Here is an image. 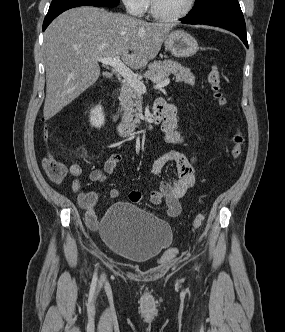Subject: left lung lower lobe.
<instances>
[{"mask_svg":"<svg viewBox=\"0 0 285 332\" xmlns=\"http://www.w3.org/2000/svg\"><path fill=\"white\" fill-rule=\"evenodd\" d=\"M181 21L187 24H204L227 29L235 33L248 48L246 25L242 11L225 12L201 17L188 16L181 19Z\"/></svg>","mask_w":285,"mask_h":332,"instance_id":"1","label":"left lung lower lobe"}]
</instances>
